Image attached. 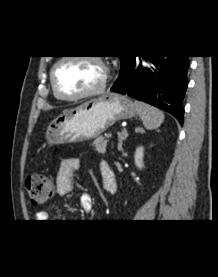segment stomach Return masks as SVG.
I'll use <instances>...</instances> for the list:
<instances>
[{"label":"stomach","instance_id":"1","mask_svg":"<svg viewBox=\"0 0 218 277\" xmlns=\"http://www.w3.org/2000/svg\"><path fill=\"white\" fill-rule=\"evenodd\" d=\"M136 114L133 102L126 96L105 93L62 114L47 127L48 144L75 143L99 137L117 121Z\"/></svg>","mask_w":218,"mask_h":277}]
</instances>
